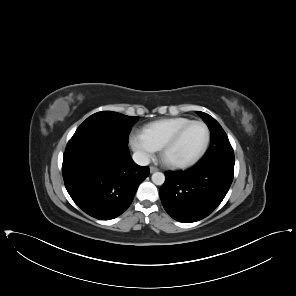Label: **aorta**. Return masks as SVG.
I'll return each instance as SVG.
<instances>
[{
  "label": "aorta",
  "mask_w": 296,
  "mask_h": 296,
  "mask_svg": "<svg viewBox=\"0 0 296 296\" xmlns=\"http://www.w3.org/2000/svg\"><path fill=\"white\" fill-rule=\"evenodd\" d=\"M151 179L155 185H163L165 181V175L162 172H155L152 174Z\"/></svg>",
  "instance_id": "762f6f07"
}]
</instances>
